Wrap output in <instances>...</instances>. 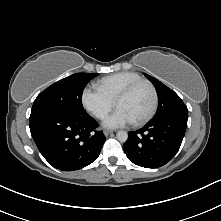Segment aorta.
Returning a JSON list of instances; mask_svg holds the SVG:
<instances>
[{"label":"aorta","mask_w":221,"mask_h":221,"mask_svg":"<svg viewBox=\"0 0 221 221\" xmlns=\"http://www.w3.org/2000/svg\"><path fill=\"white\" fill-rule=\"evenodd\" d=\"M116 137L120 142H126L128 139V133L126 131H118Z\"/></svg>","instance_id":"obj_1"}]
</instances>
